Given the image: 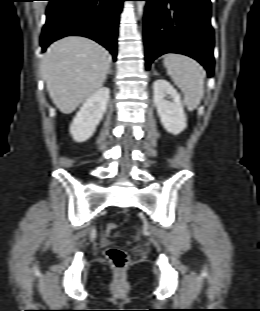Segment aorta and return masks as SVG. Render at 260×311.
Listing matches in <instances>:
<instances>
[{"instance_id": "762f6f07", "label": "aorta", "mask_w": 260, "mask_h": 311, "mask_svg": "<svg viewBox=\"0 0 260 311\" xmlns=\"http://www.w3.org/2000/svg\"><path fill=\"white\" fill-rule=\"evenodd\" d=\"M144 6H145V1H137V10H138L139 16L143 14Z\"/></svg>"}]
</instances>
